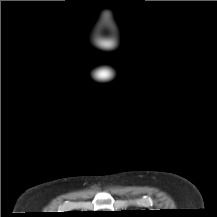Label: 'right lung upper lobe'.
<instances>
[{"label": "right lung upper lobe", "instance_id": "1", "mask_svg": "<svg viewBox=\"0 0 217 217\" xmlns=\"http://www.w3.org/2000/svg\"><path fill=\"white\" fill-rule=\"evenodd\" d=\"M67 216L78 217V216H83V214L82 212H68Z\"/></svg>", "mask_w": 217, "mask_h": 217}]
</instances>
